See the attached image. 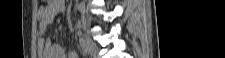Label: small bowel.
<instances>
[{
    "label": "small bowel",
    "instance_id": "obj_1",
    "mask_svg": "<svg viewBox=\"0 0 225 58\" xmlns=\"http://www.w3.org/2000/svg\"><path fill=\"white\" fill-rule=\"evenodd\" d=\"M64 11L63 0H50L40 7L38 12V52L41 58H77L75 52L66 53L63 46L53 43L51 40L44 41L41 37L48 26L53 23L57 15Z\"/></svg>",
    "mask_w": 225,
    "mask_h": 58
}]
</instances>
